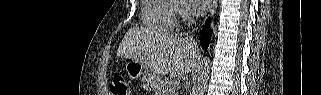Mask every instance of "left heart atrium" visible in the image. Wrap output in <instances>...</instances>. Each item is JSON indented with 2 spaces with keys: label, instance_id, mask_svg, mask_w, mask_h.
<instances>
[{
  "label": "left heart atrium",
  "instance_id": "1",
  "mask_svg": "<svg viewBox=\"0 0 321 95\" xmlns=\"http://www.w3.org/2000/svg\"><path fill=\"white\" fill-rule=\"evenodd\" d=\"M211 2V0H189L190 10L194 14H201L210 8Z\"/></svg>",
  "mask_w": 321,
  "mask_h": 95
}]
</instances>
